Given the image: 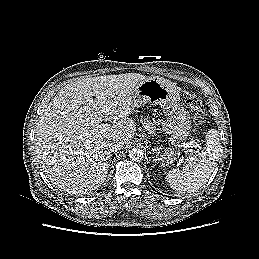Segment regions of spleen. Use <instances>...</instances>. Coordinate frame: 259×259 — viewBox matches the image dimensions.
<instances>
[{
  "label": "spleen",
  "mask_w": 259,
  "mask_h": 259,
  "mask_svg": "<svg viewBox=\"0 0 259 259\" xmlns=\"http://www.w3.org/2000/svg\"><path fill=\"white\" fill-rule=\"evenodd\" d=\"M205 147L197 155L185 159L183 170L173 169L166 175L170 187L176 192L193 193L206 184L214 171L219 156L220 135L211 129L205 137Z\"/></svg>",
  "instance_id": "spleen-1"
}]
</instances>
